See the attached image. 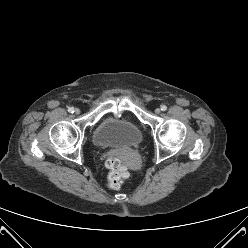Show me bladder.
<instances>
[{
  "label": "bladder",
  "instance_id": "31cf9c89",
  "mask_svg": "<svg viewBox=\"0 0 248 248\" xmlns=\"http://www.w3.org/2000/svg\"><path fill=\"white\" fill-rule=\"evenodd\" d=\"M142 138L141 130L134 123L119 117L104 119L93 133V141L99 147H134Z\"/></svg>",
  "mask_w": 248,
  "mask_h": 248
}]
</instances>
